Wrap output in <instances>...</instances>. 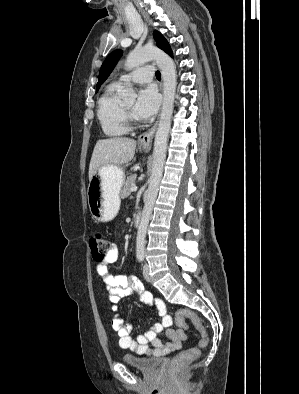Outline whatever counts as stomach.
Wrapping results in <instances>:
<instances>
[{
    "label": "stomach",
    "mask_w": 299,
    "mask_h": 394,
    "mask_svg": "<svg viewBox=\"0 0 299 394\" xmlns=\"http://www.w3.org/2000/svg\"><path fill=\"white\" fill-rule=\"evenodd\" d=\"M125 174L122 167L105 165L89 181L87 196L92 217L97 222L111 221L120 208V191Z\"/></svg>",
    "instance_id": "1"
}]
</instances>
